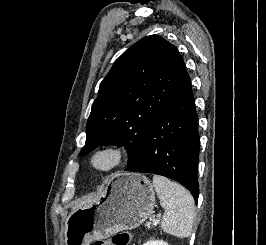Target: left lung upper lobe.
Masks as SVG:
<instances>
[{
  "label": "left lung upper lobe",
  "mask_w": 266,
  "mask_h": 245,
  "mask_svg": "<svg viewBox=\"0 0 266 245\" xmlns=\"http://www.w3.org/2000/svg\"><path fill=\"white\" fill-rule=\"evenodd\" d=\"M185 75L177 48L164 38L149 35L132 45L101 82L79 156L100 145H122L132 165L148 128Z\"/></svg>",
  "instance_id": "1"
}]
</instances>
